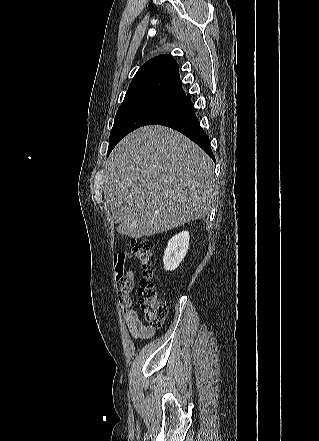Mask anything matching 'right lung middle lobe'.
Wrapping results in <instances>:
<instances>
[{"instance_id":"right-lung-middle-lobe-1","label":"right lung middle lobe","mask_w":319,"mask_h":441,"mask_svg":"<svg viewBox=\"0 0 319 441\" xmlns=\"http://www.w3.org/2000/svg\"><path fill=\"white\" fill-rule=\"evenodd\" d=\"M174 105L172 102L153 98L124 101L115 116L110 133L107 154L131 131L147 125L154 117Z\"/></svg>"}]
</instances>
